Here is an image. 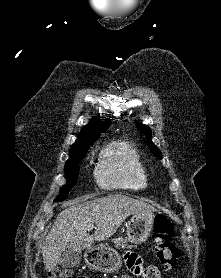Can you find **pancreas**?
Masks as SVG:
<instances>
[{"label":"pancreas","mask_w":221,"mask_h":278,"mask_svg":"<svg viewBox=\"0 0 221 278\" xmlns=\"http://www.w3.org/2000/svg\"><path fill=\"white\" fill-rule=\"evenodd\" d=\"M116 248H125L127 246V239L122 237L113 239Z\"/></svg>","instance_id":"cf45deb5"}]
</instances>
